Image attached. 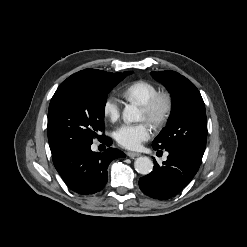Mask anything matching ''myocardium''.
I'll list each match as a JSON object with an SVG mask.
<instances>
[{
  "instance_id": "f54148a6",
  "label": "myocardium",
  "mask_w": 247,
  "mask_h": 247,
  "mask_svg": "<svg viewBox=\"0 0 247 247\" xmlns=\"http://www.w3.org/2000/svg\"><path fill=\"white\" fill-rule=\"evenodd\" d=\"M141 107L146 114V120L158 129L163 127L171 117L174 101L170 93L158 92Z\"/></svg>"
}]
</instances>
